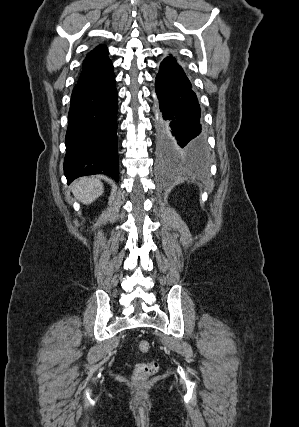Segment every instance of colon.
Listing matches in <instances>:
<instances>
[{
  "mask_svg": "<svg viewBox=\"0 0 299 427\" xmlns=\"http://www.w3.org/2000/svg\"><path fill=\"white\" fill-rule=\"evenodd\" d=\"M138 348L141 352H147L150 348V345L147 341H140L138 343ZM158 369V364L156 361H150L144 364L138 365L134 370V380L137 382L145 381L149 376L153 375Z\"/></svg>",
  "mask_w": 299,
  "mask_h": 427,
  "instance_id": "colon-1",
  "label": "colon"
}]
</instances>
